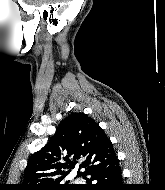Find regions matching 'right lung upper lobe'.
I'll list each match as a JSON object with an SVG mask.
<instances>
[{
	"label": "right lung upper lobe",
	"mask_w": 165,
	"mask_h": 190,
	"mask_svg": "<svg viewBox=\"0 0 165 190\" xmlns=\"http://www.w3.org/2000/svg\"><path fill=\"white\" fill-rule=\"evenodd\" d=\"M115 154L111 141L100 126L84 113L65 118L53 138L27 163L20 190H54L71 184L60 181L74 169L77 160L83 172Z\"/></svg>",
	"instance_id": "right-lung-upper-lobe-1"
}]
</instances>
